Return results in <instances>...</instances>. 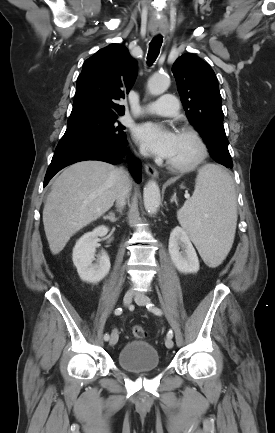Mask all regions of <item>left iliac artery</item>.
I'll return each mask as SVG.
<instances>
[{"label":"left iliac artery","mask_w":275,"mask_h":433,"mask_svg":"<svg viewBox=\"0 0 275 433\" xmlns=\"http://www.w3.org/2000/svg\"><path fill=\"white\" fill-rule=\"evenodd\" d=\"M146 307H147L148 310L152 311V312L155 313L156 315H161V314H162V311H161L159 308L155 307L154 304H152V303L147 304ZM167 337H168V338H172V337H173V332H172V330H169V331H168V333H167Z\"/></svg>","instance_id":"44dca946"}]
</instances>
